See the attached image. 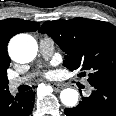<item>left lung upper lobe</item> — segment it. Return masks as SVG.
Masks as SVG:
<instances>
[{"label": "left lung upper lobe", "mask_w": 116, "mask_h": 116, "mask_svg": "<svg viewBox=\"0 0 116 116\" xmlns=\"http://www.w3.org/2000/svg\"><path fill=\"white\" fill-rule=\"evenodd\" d=\"M47 33L66 53L63 65L70 71H88L90 84L116 83V27L86 18L43 23Z\"/></svg>", "instance_id": "obj_1"}]
</instances>
